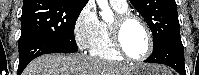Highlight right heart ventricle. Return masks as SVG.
Listing matches in <instances>:
<instances>
[{"label": "right heart ventricle", "instance_id": "1", "mask_svg": "<svg viewBox=\"0 0 199 75\" xmlns=\"http://www.w3.org/2000/svg\"><path fill=\"white\" fill-rule=\"evenodd\" d=\"M118 14L127 13V9L115 8ZM107 22H100V33L90 48L91 55L109 61H121L123 57L116 51L112 43Z\"/></svg>", "mask_w": 199, "mask_h": 75}]
</instances>
